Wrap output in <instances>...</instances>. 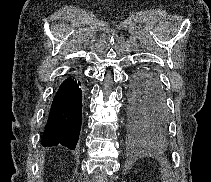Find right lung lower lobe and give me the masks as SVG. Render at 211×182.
Instances as JSON below:
<instances>
[{"mask_svg":"<svg viewBox=\"0 0 211 182\" xmlns=\"http://www.w3.org/2000/svg\"><path fill=\"white\" fill-rule=\"evenodd\" d=\"M82 122V91L80 82L67 78L59 87L49 112L42 145L61 144L75 149Z\"/></svg>","mask_w":211,"mask_h":182,"instance_id":"1","label":"right lung lower lobe"}]
</instances>
